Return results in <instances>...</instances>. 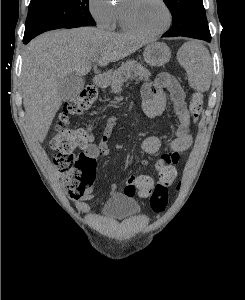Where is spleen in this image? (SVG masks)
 <instances>
[{
  "label": "spleen",
  "mask_w": 245,
  "mask_h": 300,
  "mask_svg": "<svg viewBox=\"0 0 245 300\" xmlns=\"http://www.w3.org/2000/svg\"><path fill=\"white\" fill-rule=\"evenodd\" d=\"M182 64L187 71L188 82L193 89L205 92L210 88V55L203 45L196 42L185 45Z\"/></svg>",
  "instance_id": "spleen-1"
}]
</instances>
